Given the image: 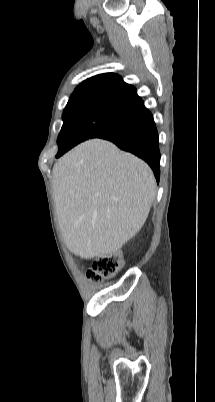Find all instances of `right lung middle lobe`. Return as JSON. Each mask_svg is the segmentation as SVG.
<instances>
[{"label": "right lung middle lobe", "mask_w": 215, "mask_h": 402, "mask_svg": "<svg viewBox=\"0 0 215 402\" xmlns=\"http://www.w3.org/2000/svg\"><path fill=\"white\" fill-rule=\"evenodd\" d=\"M144 104L111 95H71L62 115L63 126L58 136L56 157L90 138H106L130 124Z\"/></svg>", "instance_id": "right-lung-middle-lobe-1"}]
</instances>
